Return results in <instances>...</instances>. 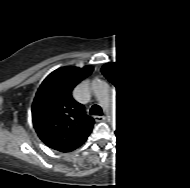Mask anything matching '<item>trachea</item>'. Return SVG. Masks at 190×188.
Wrapping results in <instances>:
<instances>
[{"instance_id": "trachea-1", "label": "trachea", "mask_w": 190, "mask_h": 188, "mask_svg": "<svg viewBox=\"0 0 190 188\" xmlns=\"http://www.w3.org/2000/svg\"><path fill=\"white\" fill-rule=\"evenodd\" d=\"M90 114L91 115H99V116H101L103 114V112H102V109H101V107L99 105L94 104L90 108Z\"/></svg>"}]
</instances>
